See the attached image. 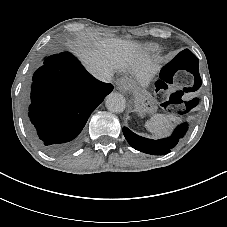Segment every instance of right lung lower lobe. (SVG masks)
I'll return each instance as SVG.
<instances>
[{"mask_svg": "<svg viewBox=\"0 0 227 227\" xmlns=\"http://www.w3.org/2000/svg\"><path fill=\"white\" fill-rule=\"evenodd\" d=\"M112 90L72 54L47 57L33 75L28 113L42 148L57 156L74 150L90 114Z\"/></svg>", "mask_w": 227, "mask_h": 227, "instance_id": "1", "label": "right lung lower lobe"}]
</instances>
